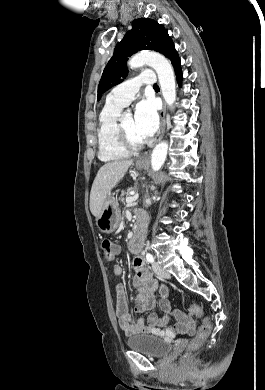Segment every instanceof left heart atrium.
Wrapping results in <instances>:
<instances>
[{
    "label": "left heart atrium",
    "mask_w": 265,
    "mask_h": 390,
    "mask_svg": "<svg viewBox=\"0 0 265 390\" xmlns=\"http://www.w3.org/2000/svg\"><path fill=\"white\" fill-rule=\"evenodd\" d=\"M134 125L137 134L146 140L158 129L159 118L156 107L151 100H143L136 106Z\"/></svg>",
    "instance_id": "39dd6f15"
}]
</instances>
